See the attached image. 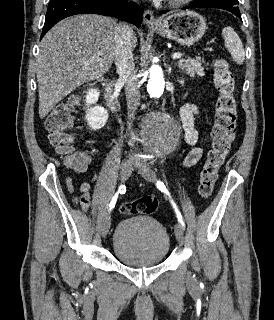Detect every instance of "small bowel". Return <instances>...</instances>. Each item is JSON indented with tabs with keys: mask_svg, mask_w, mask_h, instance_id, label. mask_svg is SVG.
<instances>
[{
	"mask_svg": "<svg viewBox=\"0 0 274 320\" xmlns=\"http://www.w3.org/2000/svg\"><path fill=\"white\" fill-rule=\"evenodd\" d=\"M184 140L192 147L190 152L186 155L183 166L188 168L195 165L203 156V149L197 145L199 140V133L196 128V122L199 119V111L194 105H186L182 108L180 113ZM77 161H86V168H73L77 172H85L90 166L92 159L86 153H79ZM80 195L74 198V202L77 206L87 211L91 204V184L89 182H83L79 188Z\"/></svg>",
	"mask_w": 274,
	"mask_h": 320,
	"instance_id": "1",
	"label": "small bowel"
}]
</instances>
